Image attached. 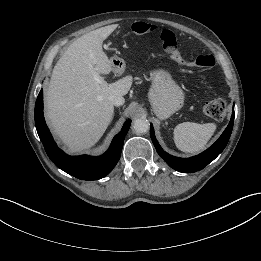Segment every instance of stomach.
I'll return each mask as SVG.
<instances>
[{
    "label": "stomach",
    "mask_w": 261,
    "mask_h": 261,
    "mask_svg": "<svg viewBox=\"0 0 261 261\" xmlns=\"http://www.w3.org/2000/svg\"><path fill=\"white\" fill-rule=\"evenodd\" d=\"M113 66L118 72L125 67V63L121 59H115ZM150 80L152 84L148 97L153 112L158 118L166 119L183 106L184 92L173 80L168 70L160 68L152 70Z\"/></svg>",
    "instance_id": "1"
}]
</instances>
